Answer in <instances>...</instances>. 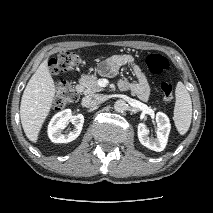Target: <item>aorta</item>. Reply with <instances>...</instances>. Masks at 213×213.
I'll return each instance as SVG.
<instances>
[{
	"label": "aorta",
	"mask_w": 213,
	"mask_h": 213,
	"mask_svg": "<svg viewBox=\"0 0 213 213\" xmlns=\"http://www.w3.org/2000/svg\"><path fill=\"white\" fill-rule=\"evenodd\" d=\"M127 108V104L123 100H117L114 104V109L116 112H124Z\"/></svg>",
	"instance_id": "762f6f07"
}]
</instances>
